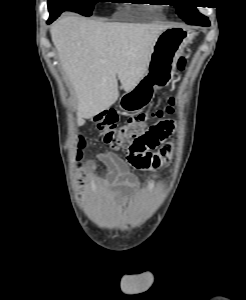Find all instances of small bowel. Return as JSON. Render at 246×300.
Listing matches in <instances>:
<instances>
[{"label":"small bowel","instance_id":"obj_1","mask_svg":"<svg viewBox=\"0 0 246 300\" xmlns=\"http://www.w3.org/2000/svg\"><path fill=\"white\" fill-rule=\"evenodd\" d=\"M171 154V147L165 146L159 154V158L167 160ZM102 161L108 166V173L104 177H99L92 172V166L86 165L84 168V175L94 183H110L116 197L125 201L129 196V191L136 188L137 183L134 175L127 171V165L136 169L149 168L141 164L140 159L142 155L128 151L124 156H117L110 152H102L99 154ZM157 164L156 166H158ZM155 166V167H156ZM85 181V180H81Z\"/></svg>","mask_w":246,"mask_h":300}]
</instances>
